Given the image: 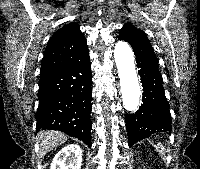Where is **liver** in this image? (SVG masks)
<instances>
[{
    "instance_id": "obj_1",
    "label": "liver",
    "mask_w": 200,
    "mask_h": 169,
    "mask_svg": "<svg viewBox=\"0 0 200 169\" xmlns=\"http://www.w3.org/2000/svg\"><path fill=\"white\" fill-rule=\"evenodd\" d=\"M37 139L40 146V156L44 157L54 147L66 142L67 136L59 131L43 130L38 133Z\"/></svg>"
}]
</instances>
